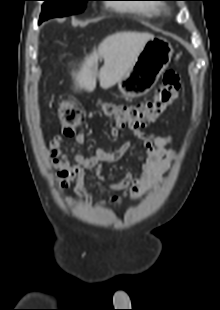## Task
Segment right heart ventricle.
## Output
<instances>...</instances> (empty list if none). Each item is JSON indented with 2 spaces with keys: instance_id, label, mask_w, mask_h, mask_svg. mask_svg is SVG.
<instances>
[{
  "instance_id": "obj_1",
  "label": "right heart ventricle",
  "mask_w": 220,
  "mask_h": 310,
  "mask_svg": "<svg viewBox=\"0 0 220 310\" xmlns=\"http://www.w3.org/2000/svg\"><path fill=\"white\" fill-rule=\"evenodd\" d=\"M135 11L147 17H157L163 12V9L159 5L145 4L136 7Z\"/></svg>"
}]
</instances>
